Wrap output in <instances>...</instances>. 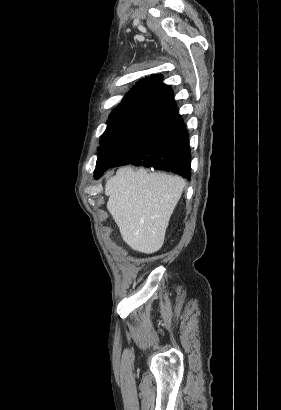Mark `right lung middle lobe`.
<instances>
[{"label":"right lung middle lobe","instance_id":"right-lung-middle-lobe-1","mask_svg":"<svg viewBox=\"0 0 281 410\" xmlns=\"http://www.w3.org/2000/svg\"><path fill=\"white\" fill-rule=\"evenodd\" d=\"M170 111L147 105H121L110 114L100 139L94 177L105 172Z\"/></svg>","mask_w":281,"mask_h":410}]
</instances>
